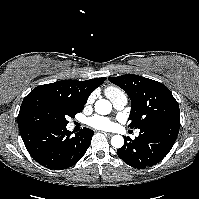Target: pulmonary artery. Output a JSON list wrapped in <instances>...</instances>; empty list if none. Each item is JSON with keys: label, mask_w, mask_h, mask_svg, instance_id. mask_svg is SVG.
<instances>
[{"label": "pulmonary artery", "mask_w": 199, "mask_h": 199, "mask_svg": "<svg viewBox=\"0 0 199 199\" xmlns=\"http://www.w3.org/2000/svg\"><path fill=\"white\" fill-rule=\"evenodd\" d=\"M105 94L116 109H122L127 104V96L120 90L107 88ZM136 134L138 135V132Z\"/></svg>", "instance_id": "pulmonary-artery-1"}]
</instances>
